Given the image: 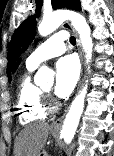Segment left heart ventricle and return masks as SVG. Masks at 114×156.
<instances>
[{
	"label": "left heart ventricle",
	"mask_w": 114,
	"mask_h": 156,
	"mask_svg": "<svg viewBox=\"0 0 114 156\" xmlns=\"http://www.w3.org/2000/svg\"><path fill=\"white\" fill-rule=\"evenodd\" d=\"M50 88H51L50 85L44 87L45 90H50Z\"/></svg>",
	"instance_id": "1"
}]
</instances>
